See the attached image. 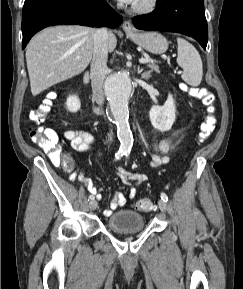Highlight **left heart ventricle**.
I'll list each match as a JSON object with an SVG mask.
<instances>
[{
	"mask_svg": "<svg viewBox=\"0 0 243 289\" xmlns=\"http://www.w3.org/2000/svg\"><path fill=\"white\" fill-rule=\"evenodd\" d=\"M139 1H141V0H137L136 3L139 2Z\"/></svg>",
	"mask_w": 243,
	"mask_h": 289,
	"instance_id": "left-heart-ventricle-1",
	"label": "left heart ventricle"
}]
</instances>
